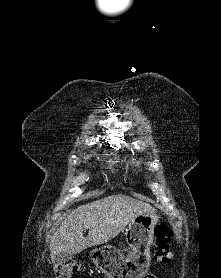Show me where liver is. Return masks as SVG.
Masks as SVG:
<instances>
[{
    "label": "liver",
    "mask_w": 221,
    "mask_h": 278,
    "mask_svg": "<svg viewBox=\"0 0 221 278\" xmlns=\"http://www.w3.org/2000/svg\"><path fill=\"white\" fill-rule=\"evenodd\" d=\"M155 213L148 203L117 194L84 204L71 211L54 233L51 260L59 253L77 254L115 238L137 215ZM88 229V236L83 231Z\"/></svg>",
    "instance_id": "liver-1"
}]
</instances>
